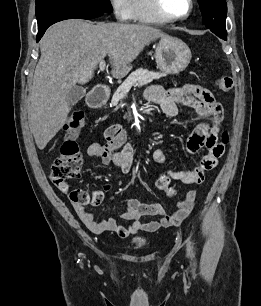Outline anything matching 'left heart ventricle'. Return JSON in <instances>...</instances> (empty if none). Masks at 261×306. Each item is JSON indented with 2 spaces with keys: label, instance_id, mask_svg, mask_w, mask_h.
Listing matches in <instances>:
<instances>
[{
  "label": "left heart ventricle",
  "instance_id": "left-heart-ventricle-1",
  "mask_svg": "<svg viewBox=\"0 0 261 306\" xmlns=\"http://www.w3.org/2000/svg\"><path fill=\"white\" fill-rule=\"evenodd\" d=\"M163 9L170 16H182L189 9L188 0H161Z\"/></svg>",
  "mask_w": 261,
  "mask_h": 306
}]
</instances>
